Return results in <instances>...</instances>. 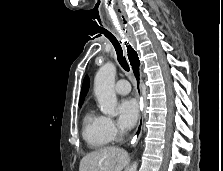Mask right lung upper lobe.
<instances>
[{
	"instance_id": "obj_1",
	"label": "right lung upper lobe",
	"mask_w": 223,
	"mask_h": 171,
	"mask_svg": "<svg viewBox=\"0 0 223 171\" xmlns=\"http://www.w3.org/2000/svg\"><path fill=\"white\" fill-rule=\"evenodd\" d=\"M89 85H90V80L89 77L86 76L84 81H83V85H82V91H81V95H80V100H79V106H81L83 104V101L85 99V96L88 92L89 89Z\"/></svg>"
}]
</instances>
